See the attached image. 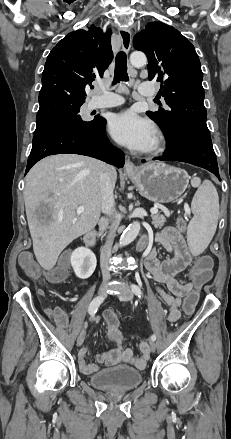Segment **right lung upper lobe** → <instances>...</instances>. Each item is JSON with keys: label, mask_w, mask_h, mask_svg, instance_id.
<instances>
[{"label": "right lung upper lobe", "mask_w": 231, "mask_h": 439, "mask_svg": "<svg viewBox=\"0 0 231 439\" xmlns=\"http://www.w3.org/2000/svg\"><path fill=\"white\" fill-rule=\"evenodd\" d=\"M111 31L94 25L69 33L51 50L42 74L36 119L80 108L85 87L102 77L113 59Z\"/></svg>", "instance_id": "cb5924a9"}]
</instances>
